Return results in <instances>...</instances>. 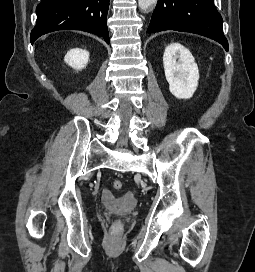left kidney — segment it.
I'll return each mask as SVG.
<instances>
[{"label": "left kidney", "mask_w": 255, "mask_h": 272, "mask_svg": "<svg viewBox=\"0 0 255 272\" xmlns=\"http://www.w3.org/2000/svg\"><path fill=\"white\" fill-rule=\"evenodd\" d=\"M163 65L172 95L191 98L198 87L199 70L190 51L180 43H171L165 48Z\"/></svg>", "instance_id": "1"}]
</instances>
